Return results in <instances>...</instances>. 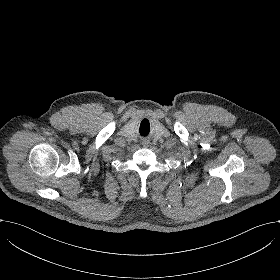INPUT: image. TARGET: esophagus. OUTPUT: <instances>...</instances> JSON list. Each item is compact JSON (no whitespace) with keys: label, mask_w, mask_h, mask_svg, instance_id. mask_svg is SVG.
<instances>
[{"label":"esophagus","mask_w":280,"mask_h":280,"mask_svg":"<svg viewBox=\"0 0 280 280\" xmlns=\"http://www.w3.org/2000/svg\"><path fill=\"white\" fill-rule=\"evenodd\" d=\"M141 144L143 147L148 148L150 146V141L148 139H142Z\"/></svg>","instance_id":"34e87169"}]
</instances>
